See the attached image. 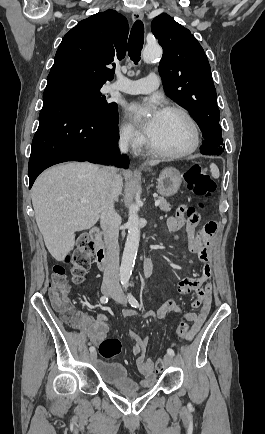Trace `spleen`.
<instances>
[{
	"instance_id": "obj_1",
	"label": "spleen",
	"mask_w": 265,
	"mask_h": 434,
	"mask_svg": "<svg viewBox=\"0 0 265 434\" xmlns=\"http://www.w3.org/2000/svg\"><path fill=\"white\" fill-rule=\"evenodd\" d=\"M210 172H211V176H213V178H219V176H220L219 168H217L216 164H211Z\"/></svg>"
}]
</instances>
